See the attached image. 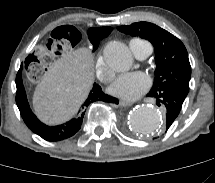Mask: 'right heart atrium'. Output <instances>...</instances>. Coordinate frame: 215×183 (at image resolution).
<instances>
[{"label": "right heart atrium", "mask_w": 215, "mask_h": 183, "mask_svg": "<svg viewBox=\"0 0 215 183\" xmlns=\"http://www.w3.org/2000/svg\"><path fill=\"white\" fill-rule=\"evenodd\" d=\"M96 74L104 83H109L114 76L113 71L106 66L103 56H100L97 60Z\"/></svg>", "instance_id": "right-heart-atrium-1"}]
</instances>
